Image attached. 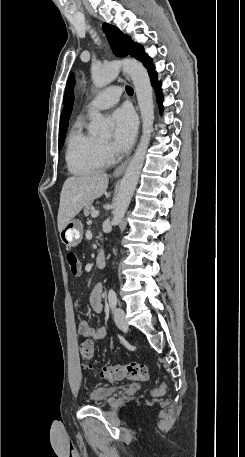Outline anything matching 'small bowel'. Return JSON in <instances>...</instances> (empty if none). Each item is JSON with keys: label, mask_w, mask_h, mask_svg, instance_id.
Wrapping results in <instances>:
<instances>
[{"label": "small bowel", "mask_w": 245, "mask_h": 457, "mask_svg": "<svg viewBox=\"0 0 245 457\" xmlns=\"http://www.w3.org/2000/svg\"><path fill=\"white\" fill-rule=\"evenodd\" d=\"M102 283H97L92 289L89 296V303L92 310L96 313L102 312ZM78 333L85 338L92 340H102L107 335V330L105 327H100L94 329L90 326L89 322L85 319H82L78 323Z\"/></svg>", "instance_id": "small-bowel-1"}]
</instances>
